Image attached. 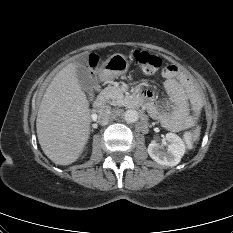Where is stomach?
Here are the masks:
<instances>
[{
    "instance_id": "1",
    "label": "stomach",
    "mask_w": 233,
    "mask_h": 233,
    "mask_svg": "<svg viewBox=\"0 0 233 233\" xmlns=\"http://www.w3.org/2000/svg\"><path fill=\"white\" fill-rule=\"evenodd\" d=\"M129 62L127 58L116 53L110 56L102 65L100 78L102 80H110L122 74H125L128 70Z\"/></svg>"
}]
</instances>
